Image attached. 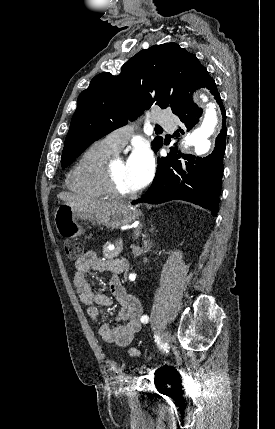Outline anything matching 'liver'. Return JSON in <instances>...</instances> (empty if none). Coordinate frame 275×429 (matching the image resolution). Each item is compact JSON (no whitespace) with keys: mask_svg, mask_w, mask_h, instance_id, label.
Listing matches in <instances>:
<instances>
[{"mask_svg":"<svg viewBox=\"0 0 275 429\" xmlns=\"http://www.w3.org/2000/svg\"><path fill=\"white\" fill-rule=\"evenodd\" d=\"M57 197L60 200L64 201L65 204L75 208L77 211L91 214L104 212L110 208L119 205L115 202L83 199L70 192H60Z\"/></svg>","mask_w":275,"mask_h":429,"instance_id":"liver-1","label":"liver"}]
</instances>
